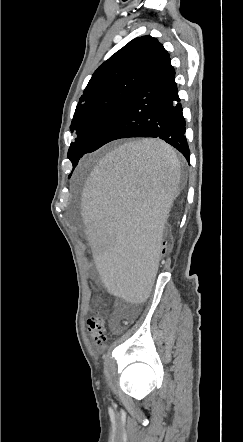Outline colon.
Instances as JSON below:
<instances>
[{"label": "colon", "mask_w": 243, "mask_h": 442, "mask_svg": "<svg viewBox=\"0 0 243 442\" xmlns=\"http://www.w3.org/2000/svg\"><path fill=\"white\" fill-rule=\"evenodd\" d=\"M171 239L168 236L163 237L161 243V251L158 256L159 262H164L170 251ZM98 306H103V301H98ZM106 324L107 318L102 311L97 312L96 315L91 316L87 321L88 332L97 346H102L106 342Z\"/></svg>", "instance_id": "colon-1"}]
</instances>
